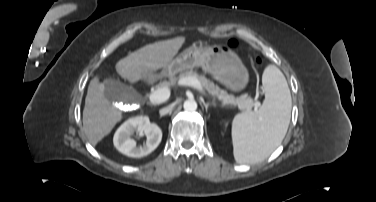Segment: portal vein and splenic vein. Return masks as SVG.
Wrapping results in <instances>:
<instances>
[{
  "mask_svg": "<svg viewBox=\"0 0 376 202\" xmlns=\"http://www.w3.org/2000/svg\"><path fill=\"white\" fill-rule=\"evenodd\" d=\"M180 83L183 85L191 86L195 88L197 91H199L203 96H206V93L202 85L197 79L193 77H187V78H183L180 81ZM169 97H170V90L167 87H165V88H159L153 91L152 93H150L149 100L152 103L160 104V103L165 102Z\"/></svg>",
  "mask_w": 376,
  "mask_h": 202,
  "instance_id": "obj_1",
  "label": "portal vein and splenic vein"
}]
</instances>
